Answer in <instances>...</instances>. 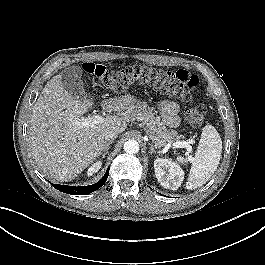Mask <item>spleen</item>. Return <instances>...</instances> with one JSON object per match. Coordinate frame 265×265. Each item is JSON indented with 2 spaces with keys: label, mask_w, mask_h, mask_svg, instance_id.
Wrapping results in <instances>:
<instances>
[{
  "label": "spleen",
  "mask_w": 265,
  "mask_h": 265,
  "mask_svg": "<svg viewBox=\"0 0 265 265\" xmlns=\"http://www.w3.org/2000/svg\"><path fill=\"white\" fill-rule=\"evenodd\" d=\"M222 152V140L212 125H206L201 134L195 157L186 182L187 189H196L205 184L216 171ZM181 164L187 162L184 157H178Z\"/></svg>",
  "instance_id": "obj_1"
}]
</instances>
